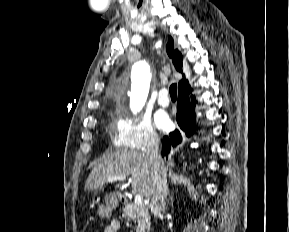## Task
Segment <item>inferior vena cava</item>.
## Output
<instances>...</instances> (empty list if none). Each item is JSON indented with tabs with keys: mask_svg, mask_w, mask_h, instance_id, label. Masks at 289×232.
Here are the masks:
<instances>
[{
	"mask_svg": "<svg viewBox=\"0 0 289 232\" xmlns=\"http://www.w3.org/2000/svg\"><path fill=\"white\" fill-rule=\"evenodd\" d=\"M146 155L153 166V191L150 196L151 213L156 217L165 208L167 196V173L159 153V139L154 137L148 144Z\"/></svg>",
	"mask_w": 289,
	"mask_h": 232,
	"instance_id": "inferior-vena-cava-1",
	"label": "inferior vena cava"
}]
</instances>
